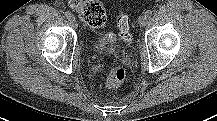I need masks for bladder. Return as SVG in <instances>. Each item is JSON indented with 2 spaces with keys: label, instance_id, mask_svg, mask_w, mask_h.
Listing matches in <instances>:
<instances>
[{
  "label": "bladder",
  "instance_id": "1",
  "mask_svg": "<svg viewBox=\"0 0 217 121\" xmlns=\"http://www.w3.org/2000/svg\"><path fill=\"white\" fill-rule=\"evenodd\" d=\"M106 46V41L105 39H101L98 41V43L96 44V48L98 49H104Z\"/></svg>",
  "mask_w": 217,
  "mask_h": 121
}]
</instances>
